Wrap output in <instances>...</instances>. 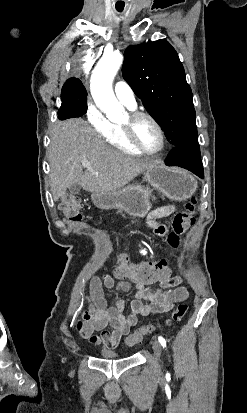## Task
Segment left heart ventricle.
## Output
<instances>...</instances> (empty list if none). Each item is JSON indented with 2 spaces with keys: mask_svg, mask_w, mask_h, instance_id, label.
<instances>
[{
  "mask_svg": "<svg viewBox=\"0 0 247 413\" xmlns=\"http://www.w3.org/2000/svg\"><path fill=\"white\" fill-rule=\"evenodd\" d=\"M136 134L141 145L150 151L157 150L161 146L162 139L158 129L145 119L138 122Z\"/></svg>",
  "mask_w": 247,
  "mask_h": 413,
  "instance_id": "left-heart-ventricle-1",
  "label": "left heart ventricle"
}]
</instances>
